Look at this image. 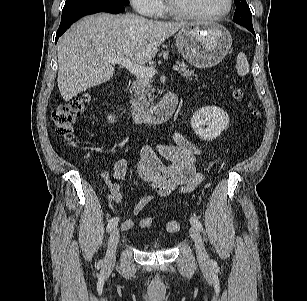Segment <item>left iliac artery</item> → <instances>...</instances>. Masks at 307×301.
<instances>
[{"mask_svg": "<svg viewBox=\"0 0 307 301\" xmlns=\"http://www.w3.org/2000/svg\"><path fill=\"white\" fill-rule=\"evenodd\" d=\"M190 222H191V224H192L193 226H195V227H196L197 229H199L200 231L203 230V226H202L201 222H200L197 218L191 217V218H190Z\"/></svg>", "mask_w": 307, "mask_h": 301, "instance_id": "1", "label": "left iliac artery"}]
</instances>
